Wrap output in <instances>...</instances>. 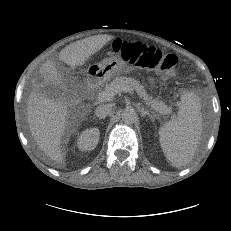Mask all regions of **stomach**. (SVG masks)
Returning a JSON list of instances; mask_svg holds the SVG:
<instances>
[{"mask_svg": "<svg viewBox=\"0 0 231 231\" xmlns=\"http://www.w3.org/2000/svg\"><path fill=\"white\" fill-rule=\"evenodd\" d=\"M129 71L130 68L120 57L111 56L98 64L91 65L87 70V74L93 79L107 81L116 75L126 74Z\"/></svg>", "mask_w": 231, "mask_h": 231, "instance_id": "0dacf381", "label": "stomach"}]
</instances>
